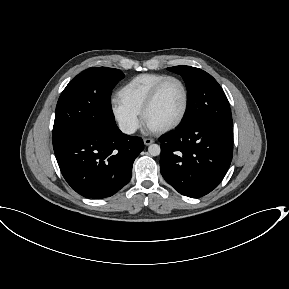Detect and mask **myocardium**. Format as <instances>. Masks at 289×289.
Listing matches in <instances>:
<instances>
[{
  "instance_id": "f54148a6",
  "label": "myocardium",
  "mask_w": 289,
  "mask_h": 289,
  "mask_svg": "<svg viewBox=\"0 0 289 289\" xmlns=\"http://www.w3.org/2000/svg\"><path fill=\"white\" fill-rule=\"evenodd\" d=\"M169 81H176L180 84V86L183 89V93H184V104H183V109L181 111V114L179 115V117L172 123L159 128L157 131L159 132H168L171 130L176 129L177 127H179L183 121L185 120L188 110H189V105H190V93H189V89L186 85V83L179 77L177 76H166L165 78H163L162 80H160L158 83H156L154 85V87L151 89V91L149 92L147 98L145 99V102L142 106L141 109V116L144 122H146V116L148 111L150 110V108L152 107V105L154 104L160 90L162 89V87Z\"/></svg>"
}]
</instances>
